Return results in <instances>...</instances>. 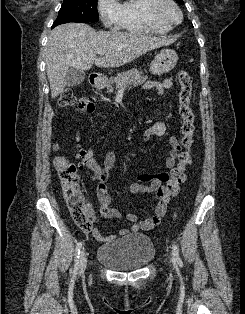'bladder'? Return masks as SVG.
I'll list each match as a JSON object with an SVG mask.
<instances>
[{
  "mask_svg": "<svg viewBox=\"0 0 245 314\" xmlns=\"http://www.w3.org/2000/svg\"><path fill=\"white\" fill-rule=\"evenodd\" d=\"M155 256V247L147 235L130 234L101 246L96 254L99 262L116 270H136L146 266Z\"/></svg>",
  "mask_w": 245,
  "mask_h": 314,
  "instance_id": "31cf9c89",
  "label": "bladder"
}]
</instances>
